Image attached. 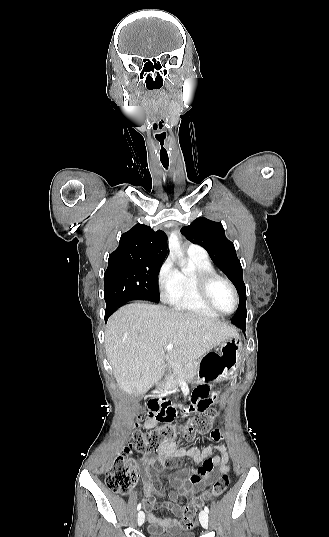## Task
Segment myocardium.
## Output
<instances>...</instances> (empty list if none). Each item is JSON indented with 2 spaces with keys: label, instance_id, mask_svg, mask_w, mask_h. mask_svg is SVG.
I'll return each instance as SVG.
<instances>
[{
  "label": "myocardium",
  "instance_id": "f54148a6",
  "mask_svg": "<svg viewBox=\"0 0 329 537\" xmlns=\"http://www.w3.org/2000/svg\"><path fill=\"white\" fill-rule=\"evenodd\" d=\"M194 280H195V284H196L198 293L202 301L215 313L219 315H231L237 310L238 305H239L238 292L235 286L233 285V283L228 278L218 274L215 271L196 270L194 272ZM216 281L225 283L230 288L234 296V308L231 312L221 311L214 305V303L211 300L210 288H211V285L215 283Z\"/></svg>",
  "mask_w": 329,
  "mask_h": 537
}]
</instances>
